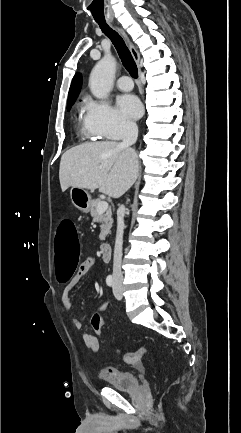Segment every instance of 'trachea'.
I'll return each instance as SVG.
<instances>
[{"label": "trachea", "instance_id": "3493384b", "mask_svg": "<svg viewBox=\"0 0 241 433\" xmlns=\"http://www.w3.org/2000/svg\"><path fill=\"white\" fill-rule=\"evenodd\" d=\"M93 19L94 22L100 27L102 32L112 41L115 46L118 55L123 63V66L130 73L133 78H138V68L131 55V52L127 48L123 38L113 29H111L104 19V3L93 4Z\"/></svg>", "mask_w": 241, "mask_h": 433}]
</instances>
